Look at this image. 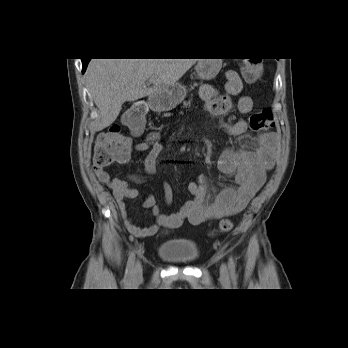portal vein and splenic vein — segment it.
Segmentation results:
<instances>
[{"instance_id":"portal-vein-and-splenic-vein-1","label":"portal vein and splenic vein","mask_w":348,"mask_h":348,"mask_svg":"<svg viewBox=\"0 0 348 348\" xmlns=\"http://www.w3.org/2000/svg\"><path fill=\"white\" fill-rule=\"evenodd\" d=\"M155 82V79L151 78L149 79V83H154Z\"/></svg>"}]
</instances>
